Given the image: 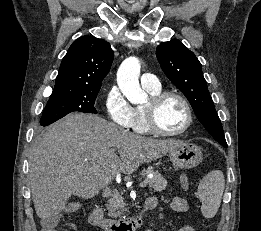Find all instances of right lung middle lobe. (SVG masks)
<instances>
[{
  "label": "right lung middle lobe",
  "mask_w": 261,
  "mask_h": 231,
  "mask_svg": "<svg viewBox=\"0 0 261 231\" xmlns=\"http://www.w3.org/2000/svg\"><path fill=\"white\" fill-rule=\"evenodd\" d=\"M99 90H53L43 111L40 124L47 126L74 111L97 113L94 104Z\"/></svg>",
  "instance_id": "dd1d6c3e"
}]
</instances>
